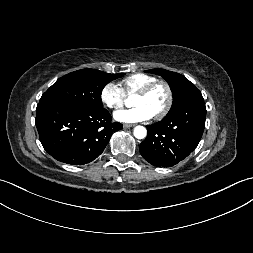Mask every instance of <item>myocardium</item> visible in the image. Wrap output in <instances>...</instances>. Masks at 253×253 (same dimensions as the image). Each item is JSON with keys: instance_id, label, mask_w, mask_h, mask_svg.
Here are the masks:
<instances>
[{"instance_id": "f54148a6", "label": "myocardium", "mask_w": 253, "mask_h": 253, "mask_svg": "<svg viewBox=\"0 0 253 253\" xmlns=\"http://www.w3.org/2000/svg\"><path fill=\"white\" fill-rule=\"evenodd\" d=\"M157 86H163L166 90V93H167V101H166L165 106L158 113L153 115V118L155 120H160V119L164 118L169 113V111L171 110L172 105H173L174 95H173V90H172L170 84L165 80L156 79L155 81L144 86L142 89L138 90L136 92V95L147 96Z\"/></svg>"}]
</instances>
